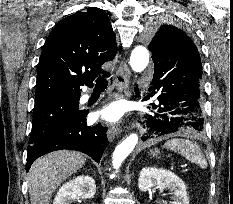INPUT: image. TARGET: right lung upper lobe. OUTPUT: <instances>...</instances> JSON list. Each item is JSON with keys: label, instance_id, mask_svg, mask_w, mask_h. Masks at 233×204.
I'll return each mask as SVG.
<instances>
[{"label": "right lung upper lobe", "instance_id": "cb5924a9", "mask_svg": "<svg viewBox=\"0 0 233 204\" xmlns=\"http://www.w3.org/2000/svg\"><path fill=\"white\" fill-rule=\"evenodd\" d=\"M106 12L90 7L61 20L49 34L39 60L35 102L55 96H80L105 73L103 63L120 51Z\"/></svg>", "mask_w": 233, "mask_h": 204}]
</instances>
